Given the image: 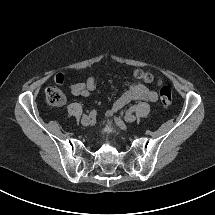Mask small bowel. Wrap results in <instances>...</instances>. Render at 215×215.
Listing matches in <instances>:
<instances>
[{
	"label": "small bowel",
	"instance_id": "obj_1",
	"mask_svg": "<svg viewBox=\"0 0 215 215\" xmlns=\"http://www.w3.org/2000/svg\"><path fill=\"white\" fill-rule=\"evenodd\" d=\"M97 87V78L89 76L85 82L74 83L69 89L75 96L87 97ZM158 96L153 90L148 89L145 85L138 82L128 84V89L125 91L114 103L110 111L107 112L108 116H112L115 112L120 110L123 106L132 100H143L147 102H155Z\"/></svg>",
	"mask_w": 215,
	"mask_h": 215
}]
</instances>
